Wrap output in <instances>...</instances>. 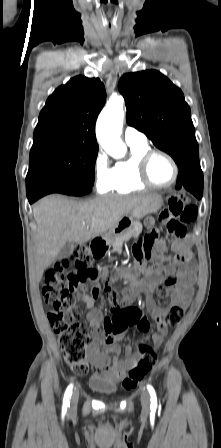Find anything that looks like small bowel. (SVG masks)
<instances>
[{"mask_svg": "<svg viewBox=\"0 0 221 448\" xmlns=\"http://www.w3.org/2000/svg\"><path fill=\"white\" fill-rule=\"evenodd\" d=\"M147 225L153 234L152 220H148ZM165 246V241L162 239H156L154 241V258L157 264L146 271V279L144 282V285L152 293L164 284L166 275L177 272L179 279L176 285L169 287L170 304L168 307L158 306L151 296L146 300V308L155 318L160 332L152 337L153 345L156 348L163 343L168 333V326L163 323L162 315L173 306H179L183 309L189 306L192 296V286L195 281L193 266L188 261H181L179 263L176 261L178 255L189 250L191 241L187 237L174 241L172 246L173 253L167 257L166 264L162 265L160 264V260L165 251ZM137 287L138 284H131L122 291L120 299L111 301L110 317H105L103 312L95 305L96 299L100 295V288L97 285L93 287L92 295L83 294L77 298V301L84 304L88 310L87 321L97 339V341L91 342L87 347L88 359L97 373L106 374L115 383H121L125 379L130 369L140 358L141 353L139 351L138 354H133L132 348L127 346L124 351V359H119L118 354L120 349L118 341L123 337L129 326L127 325L111 331L106 329L102 331L101 326L108 322L117 328L121 325L122 321L126 320L124 310L133 303L136 297Z\"/></svg>", "mask_w": 221, "mask_h": 448, "instance_id": "c3829d8e", "label": "small bowel"}]
</instances>
